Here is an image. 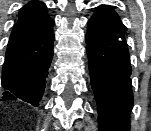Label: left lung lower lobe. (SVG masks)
Listing matches in <instances>:
<instances>
[{
    "label": "left lung lower lobe",
    "mask_w": 151,
    "mask_h": 131,
    "mask_svg": "<svg viewBox=\"0 0 151 131\" xmlns=\"http://www.w3.org/2000/svg\"><path fill=\"white\" fill-rule=\"evenodd\" d=\"M125 31L126 26L107 5L99 6L88 21L87 55L99 131H130L133 94Z\"/></svg>",
    "instance_id": "left-lung-lower-lobe-1"
}]
</instances>
